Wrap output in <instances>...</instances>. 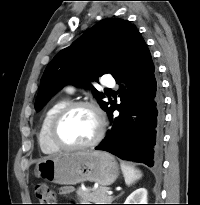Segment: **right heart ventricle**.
<instances>
[{
  "label": "right heart ventricle",
  "mask_w": 200,
  "mask_h": 205,
  "mask_svg": "<svg viewBox=\"0 0 200 205\" xmlns=\"http://www.w3.org/2000/svg\"><path fill=\"white\" fill-rule=\"evenodd\" d=\"M68 103V99L61 98L53 102L45 111L39 133L38 142L41 150L46 154H53L59 149L53 144L50 138V127L55 115Z\"/></svg>",
  "instance_id": "1"
}]
</instances>
